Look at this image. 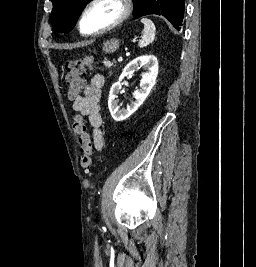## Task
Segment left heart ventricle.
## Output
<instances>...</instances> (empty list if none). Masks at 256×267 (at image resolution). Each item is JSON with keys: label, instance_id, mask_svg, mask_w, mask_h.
<instances>
[{"label": "left heart ventricle", "instance_id": "1", "mask_svg": "<svg viewBox=\"0 0 256 267\" xmlns=\"http://www.w3.org/2000/svg\"><path fill=\"white\" fill-rule=\"evenodd\" d=\"M119 14V9L111 3L98 4L85 14L82 28L87 33L101 31L115 21Z\"/></svg>", "mask_w": 256, "mask_h": 267}]
</instances>
